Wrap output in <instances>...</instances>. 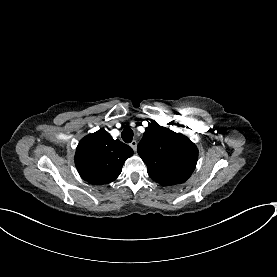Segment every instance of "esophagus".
I'll use <instances>...</instances> for the list:
<instances>
[{"label": "esophagus", "instance_id": "34e87169", "mask_svg": "<svg viewBox=\"0 0 277 277\" xmlns=\"http://www.w3.org/2000/svg\"><path fill=\"white\" fill-rule=\"evenodd\" d=\"M129 145H130V147H132V149L134 151H136V149H137V142H136V140H133Z\"/></svg>", "mask_w": 277, "mask_h": 277}]
</instances>
